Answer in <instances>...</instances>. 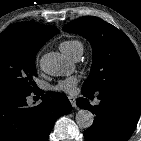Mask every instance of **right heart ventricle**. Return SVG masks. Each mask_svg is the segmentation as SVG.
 <instances>
[{
	"label": "right heart ventricle",
	"instance_id": "obj_1",
	"mask_svg": "<svg viewBox=\"0 0 141 141\" xmlns=\"http://www.w3.org/2000/svg\"><path fill=\"white\" fill-rule=\"evenodd\" d=\"M59 49L62 53L70 58H74L77 55H81L83 53V44L81 41L76 39L65 40L60 43Z\"/></svg>",
	"mask_w": 141,
	"mask_h": 141
}]
</instances>
